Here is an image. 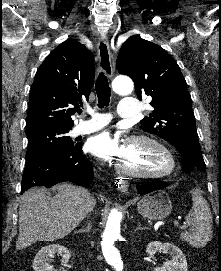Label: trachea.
I'll use <instances>...</instances> for the list:
<instances>
[{
	"mask_svg": "<svg viewBox=\"0 0 221 271\" xmlns=\"http://www.w3.org/2000/svg\"><path fill=\"white\" fill-rule=\"evenodd\" d=\"M95 90L98 97V107L103 108L104 106H108L110 102L111 88L109 86L107 77L102 72L99 73L95 83ZM81 112L82 110L79 109L78 113Z\"/></svg>",
	"mask_w": 221,
	"mask_h": 271,
	"instance_id": "3493384b",
	"label": "trachea"
}]
</instances>
